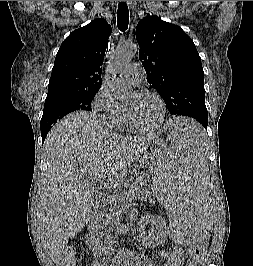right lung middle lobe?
<instances>
[{"instance_id":"right-lung-middle-lobe-1","label":"right lung middle lobe","mask_w":253,"mask_h":266,"mask_svg":"<svg viewBox=\"0 0 253 266\" xmlns=\"http://www.w3.org/2000/svg\"><path fill=\"white\" fill-rule=\"evenodd\" d=\"M99 89L100 88L91 90H61L48 93L45 100L40 128H51L57 120L73 111H91V102Z\"/></svg>"}]
</instances>
